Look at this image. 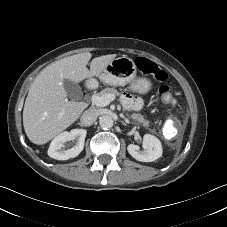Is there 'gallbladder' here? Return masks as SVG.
Segmentation results:
<instances>
[{
  "label": "gallbladder",
  "instance_id": "bac80fb5",
  "mask_svg": "<svg viewBox=\"0 0 227 227\" xmlns=\"http://www.w3.org/2000/svg\"><path fill=\"white\" fill-rule=\"evenodd\" d=\"M64 88L67 92L68 97L71 99H77L81 95V88L77 83L65 79L63 81Z\"/></svg>",
  "mask_w": 227,
  "mask_h": 227
}]
</instances>
